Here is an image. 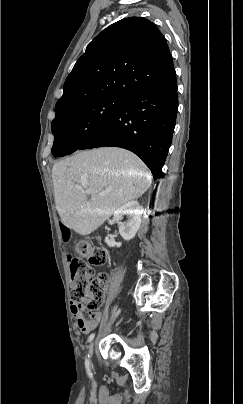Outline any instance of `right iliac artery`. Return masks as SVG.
Here are the masks:
<instances>
[{
    "label": "right iliac artery",
    "mask_w": 243,
    "mask_h": 404,
    "mask_svg": "<svg viewBox=\"0 0 243 404\" xmlns=\"http://www.w3.org/2000/svg\"><path fill=\"white\" fill-rule=\"evenodd\" d=\"M120 312V310L116 313V315H118ZM95 334L92 333L89 337H88V342H91L94 339ZM85 367H86V371L88 375H91V369H90V360H89V355L86 356L85 359Z\"/></svg>",
    "instance_id": "obj_1"
}]
</instances>
